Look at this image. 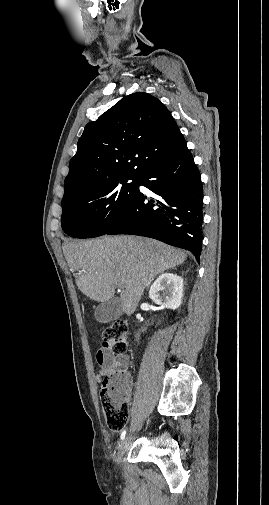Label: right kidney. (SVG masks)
Listing matches in <instances>:
<instances>
[{"label": "right kidney", "instance_id": "right-kidney-1", "mask_svg": "<svg viewBox=\"0 0 269 505\" xmlns=\"http://www.w3.org/2000/svg\"><path fill=\"white\" fill-rule=\"evenodd\" d=\"M183 278L173 274H161L150 287L149 297L162 308L177 309L182 302Z\"/></svg>", "mask_w": 269, "mask_h": 505}]
</instances>
